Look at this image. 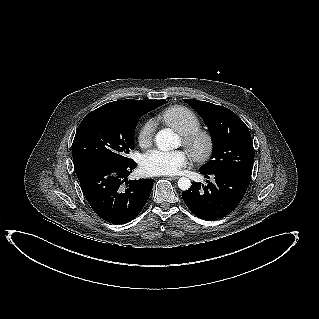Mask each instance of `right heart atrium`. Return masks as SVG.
<instances>
[{
	"label": "right heart atrium",
	"instance_id": "obj_1",
	"mask_svg": "<svg viewBox=\"0 0 319 319\" xmlns=\"http://www.w3.org/2000/svg\"><path fill=\"white\" fill-rule=\"evenodd\" d=\"M154 132V123L151 120L144 122L138 130L137 139L142 147H147L151 144Z\"/></svg>",
	"mask_w": 319,
	"mask_h": 319
}]
</instances>
